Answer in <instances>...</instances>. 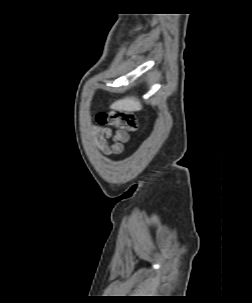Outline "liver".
I'll return each instance as SVG.
<instances>
[{
	"label": "liver",
	"mask_w": 252,
	"mask_h": 303,
	"mask_svg": "<svg viewBox=\"0 0 252 303\" xmlns=\"http://www.w3.org/2000/svg\"><path fill=\"white\" fill-rule=\"evenodd\" d=\"M111 108L118 111L134 112L140 111L142 109V105L139 99L131 96L115 101L111 105Z\"/></svg>",
	"instance_id": "obj_1"
}]
</instances>
